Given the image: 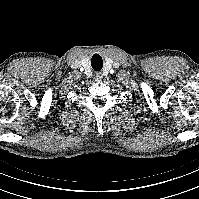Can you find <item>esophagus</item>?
Here are the masks:
<instances>
[{
	"instance_id": "34e87169",
	"label": "esophagus",
	"mask_w": 199,
	"mask_h": 199,
	"mask_svg": "<svg viewBox=\"0 0 199 199\" xmlns=\"http://www.w3.org/2000/svg\"><path fill=\"white\" fill-rule=\"evenodd\" d=\"M103 78V74L101 72H98L95 74V80L100 81Z\"/></svg>"
}]
</instances>
